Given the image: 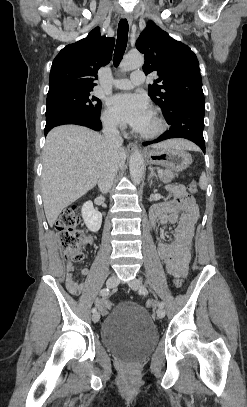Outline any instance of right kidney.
I'll list each match as a JSON object with an SVG mask.
<instances>
[{"label": "right kidney", "instance_id": "ca27d5eb", "mask_svg": "<svg viewBox=\"0 0 247 407\" xmlns=\"http://www.w3.org/2000/svg\"><path fill=\"white\" fill-rule=\"evenodd\" d=\"M81 213L87 228L92 232L99 231L102 224V214L94 209L91 201L83 204Z\"/></svg>", "mask_w": 247, "mask_h": 407}]
</instances>
